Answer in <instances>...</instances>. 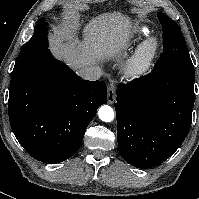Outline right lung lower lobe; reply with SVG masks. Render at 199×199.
<instances>
[{
	"label": "right lung lower lobe",
	"mask_w": 199,
	"mask_h": 199,
	"mask_svg": "<svg viewBox=\"0 0 199 199\" xmlns=\"http://www.w3.org/2000/svg\"><path fill=\"white\" fill-rule=\"evenodd\" d=\"M106 102L104 82L81 80L47 49L12 73L8 114L27 153L54 164L79 150L97 108Z\"/></svg>",
	"instance_id": "right-lung-lower-lobe-1"
}]
</instances>
